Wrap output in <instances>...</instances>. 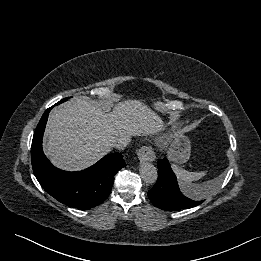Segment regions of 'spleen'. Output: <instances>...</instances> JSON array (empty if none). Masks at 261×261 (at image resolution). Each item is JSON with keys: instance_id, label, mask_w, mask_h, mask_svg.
Masks as SVG:
<instances>
[{"instance_id": "spleen-1", "label": "spleen", "mask_w": 261, "mask_h": 261, "mask_svg": "<svg viewBox=\"0 0 261 261\" xmlns=\"http://www.w3.org/2000/svg\"><path fill=\"white\" fill-rule=\"evenodd\" d=\"M172 168L180 182L190 183L192 181H197L201 179L206 173L204 171L201 172H189L177 165H172ZM197 199L196 196H194Z\"/></svg>"}]
</instances>
